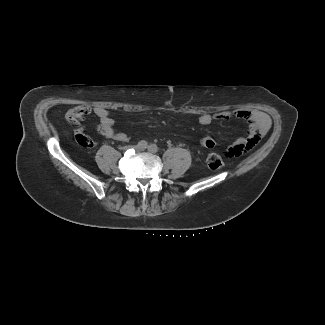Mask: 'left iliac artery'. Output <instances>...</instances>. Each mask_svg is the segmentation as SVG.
Instances as JSON below:
<instances>
[{
  "label": "left iliac artery",
  "mask_w": 325,
  "mask_h": 325,
  "mask_svg": "<svg viewBox=\"0 0 325 325\" xmlns=\"http://www.w3.org/2000/svg\"><path fill=\"white\" fill-rule=\"evenodd\" d=\"M148 150H149L150 152H152V153H156V152L158 151V147H157V145H155V144H150V145L148 146Z\"/></svg>",
  "instance_id": "obj_1"
}]
</instances>
